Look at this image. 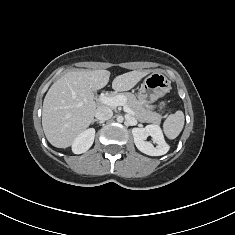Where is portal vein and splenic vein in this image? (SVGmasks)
Instances as JSON below:
<instances>
[{"mask_svg":"<svg viewBox=\"0 0 235 235\" xmlns=\"http://www.w3.org/2000/svg\"><path fill=\"white\" fill-rule=\"evenodd\" d=\"M100 101L108 106L117 107L123 106V109L128 114L134 115V111L126 104V99L122 95L117 96H100Z\"/></svg>","mask_w":235,"mask_h":235,"instance_id":"1","label":"portal vein and splenic vein"}]
</instances>
